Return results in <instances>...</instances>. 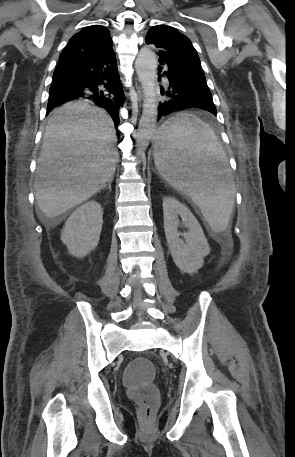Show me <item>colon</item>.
<instances>
[{
	"label": "colon",
	"instance_id": "obj_1",
	"mask_svg": "<svg viewBox=\"0 0 295 457\" xmlns=\"http://www.w3.org/2000/svg\"><path fill=\"white\" fill-rule=\"evenodd\" d=\"M123 382L129 396L138 404L139 415L142 420L152 418L158 404V390L148 378H156L157 370L148 357H138L135 363H129L125 368Z\"/></svg>",
	"mask_w": 295,
	"mask_h": 457
}]
</instances>
